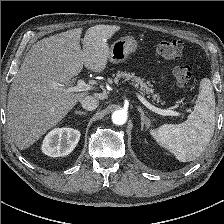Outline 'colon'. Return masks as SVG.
Masks as SVG:
<instances>
[{
  "mask_svg": "<svg viewBox=\"0 0 224 224\" xmlns=\"http://www.w3.org/2000/svg\"><path fill=\"white\" fill-rule=\"evenodd\" d=\"M158 53L168 60H179L184 51V45L180 40H163L157 45ZM174 77L177 85L183 90H188L193 76L192 68L189 64L180 63L174 67Z\"/></svg>",
  "mask_w": 224,
  "mask_h": 224,
  "instance_id": "5ec220e1",
  "label": "colon"
}]
</instances>
